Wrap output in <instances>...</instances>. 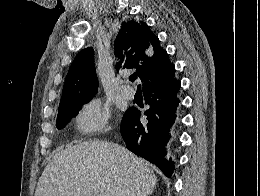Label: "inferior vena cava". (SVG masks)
<instances>
[{"label":"inferior vena cava","instance_id":"inferior-vena-cava-1","mask_svg":"<svg viewBox=\"0 0 260 196\" xmlns=\"http://www.w3.org/2000/svg\"><path fill=\"white\" fill-rule=\"evenodd\" d=\"M124 196H134L132 190H124Z\"/></svg>","mask_w":260,"mask_h":196}]
</instances>
